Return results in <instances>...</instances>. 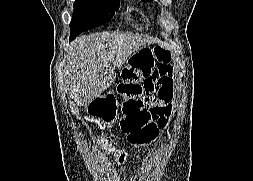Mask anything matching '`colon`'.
I'll return each instance as SVG.
<instances>
[{
    "label": "colon",
    "instance_id": "obj_1",
    "mask_svg": "<svg viewBox=\"0 0 253 181\" xmlns=\"http://www.w3.org/2000/svg\"><path fill=\"white\" fill-rule=\"evenodd\" d=\"M150 59L165 64L169 54L165 48H139L132 64L123 70V80L117 87V93L123 99L121 129L135 146L154 142L167 118L160 97L148 95L142 84Z\"/></svg>",
    "mask_w": 253,
    "mask_h": 181
}]
</instances>
